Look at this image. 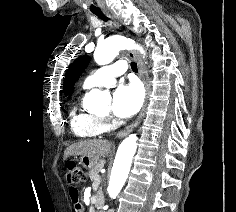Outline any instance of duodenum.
I'll list each match as a JSON object with an SVG mask.
<instances>
[{
	"mask_svg": "<svg viewBox=\"0 0 236 212\" xmlns=\"http://www.w3.org/2000/svg\"><path fill=\"white\" fill-rule=\"evenodd\" d=\"M97 212H104V209H103L102 207H99V208L97 209Z\"/></svg>",
	"mask_w": 236,
	"mask_h": 212,
	"instance_id": "1",
	"label": "duodenum"
}]
</instances>
